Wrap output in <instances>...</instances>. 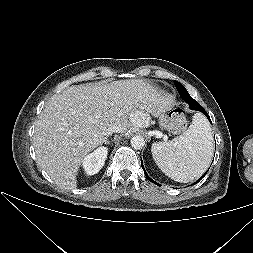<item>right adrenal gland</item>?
I'll list each match as a JSON object with an SVG mask.
<instances>
[{
  "mask_svg": "<svg viewBox=\"0 0 253 253\" xmlns=\"http://www.w3.org/2000/svg\"><path fill=\"white\" fill-rule=\"evenodd\" d=\"M104 144L108 145L109 144V140H108V136L105 137L104 141H103Z\"/></svg>",
  "mask_w": 253,
  "mask_h": 253,
  "instance_id": "2a0ac1e0",
  "label": "right adrenal gland"
}]
</instances>
